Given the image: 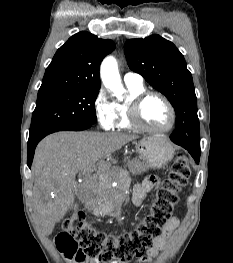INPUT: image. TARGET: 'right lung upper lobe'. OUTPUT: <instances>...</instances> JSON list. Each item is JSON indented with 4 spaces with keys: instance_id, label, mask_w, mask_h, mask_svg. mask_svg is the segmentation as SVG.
<instances>
[{
    "instance_id": "right-lung-upper-lobe-1",
    "label": "right lung upper lobe",
    "mask_w": 233,
    "mask_h": 263,
    "mask_svg": "<svg viewBox=\"0 0 233 263\" xmlns=\"http://www.w3.org/2000/svg\"><path fill=\"white\" fill-rule=\"evenodd\" d=\"M115 49L112 40L79 32L60 47L47 67L38 95L65 89H100L99 67Z\"/></svg>"
}]
</instances>
